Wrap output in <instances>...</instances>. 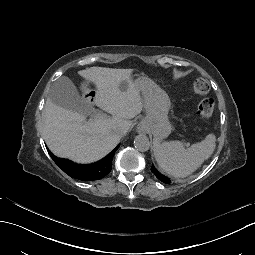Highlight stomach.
Here are the masks:
<instances>
[{"label": "stomach", "mask_w": 255, "mask_h": 255, "mask_svg": "<svg viewBox=\"0 0 255 255\" xmlns=\"http://www.w3.org/2000/svg\"><path fill=\"white\" fill-rule=\"evenodd\" d=\"M134 83L146 86L143 94L147 101L144 106L146 117L138 124L137 130L140 133L149 131L155 137L162 139L171 129L167 116L172 109V102L165 92L150 85L152 81L147 77H138Z\"/></svg>", "instance_id": "1"}]
</instances>
